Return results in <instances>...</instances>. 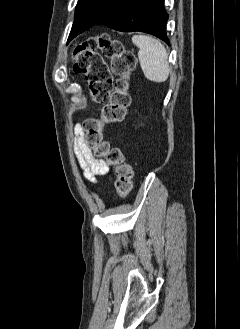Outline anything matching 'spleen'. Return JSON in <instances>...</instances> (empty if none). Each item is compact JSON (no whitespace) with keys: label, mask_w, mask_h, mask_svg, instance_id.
I'll return each instance as SVG.
<instances>
[{"label":"spleen","mask_w":240,"mask_h":329,"mask_svg":"<svg viewBox=\"0 0 240 329\" xmlns=\"http://www.w3.org/2000/svg\"><path fill=\"white\" fill-rule=\"evenodd\" d=\"M132 42L139 48L138 58L144 76L156 83L165 82L170 68L167 51L161 42L147 35H134Z\"/></svg>","instance_id":"obj_1"}]
</instances>
